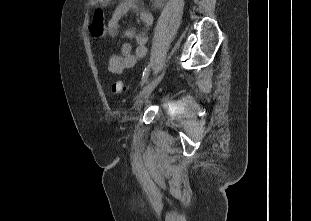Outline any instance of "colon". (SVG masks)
<instances>
[{
	"mask_svg": "<svg viewBox=\"0 0 311 221\" xmlns=\"http://www.w3.org/2000/svg\"><path fill=\"white\" fill-rule=\"evenodd\" d=\"M90 32L96 38H101L108 33V23L102 11L94 13L93 22L90 24ZM111 90L114 94H122L127 92L128 88L123 81H117L112 84Z\"/></svg>",
	"mask_w": 311,
	"mask_h": 221,
	"instance_id": "5ec220e1",
	"label": "colon"
}]
</instances>
